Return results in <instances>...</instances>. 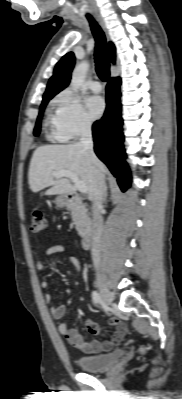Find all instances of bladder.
Segmentation results:
<instances>
[{"mask_svg": "<svg viewBox=\"0 0 182 399\" xmlns=\"http://www.w3.org/2000/svg\"><path fill=\"white\" fill-rule=\"evenodd\" d=\"M124 356L122 349H116L108 354L97 356H80L76 359L77 365L84 372L95 373L109 369Z\"/></svg>", "mask_w": 182, "mask_h": 399, "instance_id": "obj_1", "label": "bladder"}]
</instances>
